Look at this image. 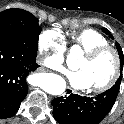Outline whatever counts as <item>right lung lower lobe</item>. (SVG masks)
I'll return each mask as SVG.
<instances>
[{
  "instance_id": "98d812e1",
  "label": "right lung lower lobe",
  "mask_w": 124,
  "mask_h": 124,
  "mask_svg": "<svg viewBox=\"0 0 124 124\" xmlns=\"http://www.w3.org/2000/svg\"><path fill=\"white\" fill-rule=\"evenodd\" d=\"M36 56L30 37L0 35V119L19 109L28 92L26 77L39 67Z\"/></svg>"
}]
</instances>
